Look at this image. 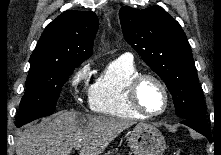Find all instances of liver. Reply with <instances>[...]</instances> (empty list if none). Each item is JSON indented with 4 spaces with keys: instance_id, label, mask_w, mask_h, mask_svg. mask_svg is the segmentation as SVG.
<instances>
[{
    "instance_id": "1",
    "label": "liver",
    "mask_w": 221,
    "mask_h": 155,
    "mask_svg": "<svg viewBox=\"0 0 221 155\" xmlns=\"http://www.w3.org/2000/svg\"><path fill=\"white\" fill-rule=\"evenodd\" d=\"M134 123L122 118L61 112L19 132L15 138L16 155H70L77 145H81L79 155H100Z\"/></svg>"
}]
</instances>
